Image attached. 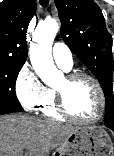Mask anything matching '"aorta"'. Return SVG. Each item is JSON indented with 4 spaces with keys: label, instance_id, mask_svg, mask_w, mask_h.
Listing matches in <instances>:
<instances>
[{
    "label": "aorta",
    "instance_id": "762f6f07",
    "mask_svg": "<svg viewBox=\"0 0 114 156\" xmlns=\"http://www.w3.org/2000/svg\"><path fill=\"white\" fill-rule=\"evenodd\" d=\"M58 30L59 24L55 19L44 21L37 26L30 45L29 54L33 69L47 85H52L62 76L54 65L51 53Z\"/></svg>",
    "mask_w": 114,
    "mask_h": 156
}]
</instances>
